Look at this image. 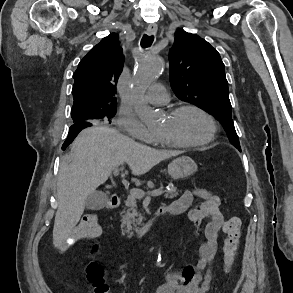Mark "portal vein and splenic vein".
I'll return each mask as SVG.
<instances>
[{
    "label": "portal vein and splenic vein",
    "instance_id": "18ae733b",
    "mask_svg": "<svg viewBox=\"0 0 293 293\" xmlns=\"http://www.w3.org/2000/svg\"><path fill=\"white\" fill-rule=\"evenodd\" d=\"M119 172H120V169L115 168L114 171H113V175L117 176L119 174ZM162 193H163V191L160 190V189L153 190V191H150V192H147V193H145L144 191H142L140 189H136V188L131 190V194L133 196H135L136 198H138V199H142L145 195L152 196V197H157V196H161Z\"/></svg>",
    "mask_w": 293,
    "mask_h": 293
}]
</instances>
